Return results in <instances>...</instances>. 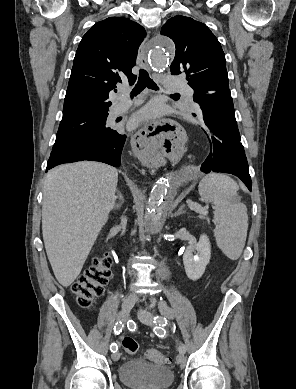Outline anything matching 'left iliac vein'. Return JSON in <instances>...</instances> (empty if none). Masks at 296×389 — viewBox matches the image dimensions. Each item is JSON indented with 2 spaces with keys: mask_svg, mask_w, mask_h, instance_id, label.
Here are the masks:
<instances>
[{
  "mask_svg": "<svg viewBox=\"0 0 296 389\" xmlns=\"http://www.w3.org/2000/svg\"><path fill=\"white\" fill-rule=\"evenodd\" d=\"M138 318L142 323L146 325H153V314L147 310L141 309L138 312ZM184 361H185L184 353L179 352V354L176 356V362L178 364H183Z\"/></svg>",
  "mask_w": 296,
  "mask_h": 389,
  "instance_id": "4c4485c4",
  "label": "left iliac vein"
}]
</instances>
